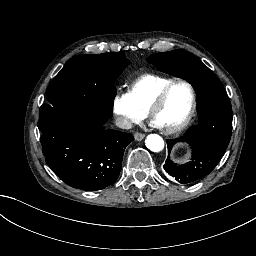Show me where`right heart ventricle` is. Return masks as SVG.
<instances>
[{
    "instance_id": "obj_1",
    "label": "right heart ventricle",
    "mask_w": 256,
    "mask_h": 256,
    "mask_svg": "<svg viewBox=\"0 0 256 256\" xmlns=\"http://www.w3.org/2000/svg\"><path fill=\"white\" fill-rule=\"evenodd\" d=\"M173 78L167 77L164 79H155L150 85L142 88L134 89L131 97L137 99L144 109L148 104L155 100L157 95L171 82Z\"/></svg>"
}]
</instances>
